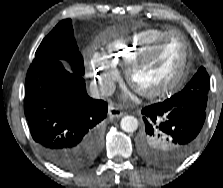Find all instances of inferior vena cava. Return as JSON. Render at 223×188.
Listing matches in <instances>:
<instances>
[{
  "label": "inferior vena cava",
  "mask_w": 223,
  "mask_h": 188,
  "mask_svg": "<svg viewBox=\"0 0 223 188\" xmlns=\"http://www.w3.org/2000/svg\"><path fill=\"white\" fill-rule=\"evenodd\" d=\"M89 90L91 97L100 99L104 96H111L115 91V84L112 81H93Z\"/></svg>",
  "instance_id": "inferior-vena-cava-1"
}]
</instances>
